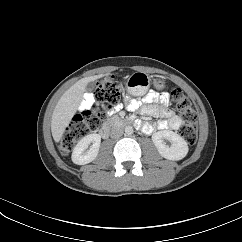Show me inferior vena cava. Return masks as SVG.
<instances>
[{"label": "inferior vena cava", "instance_id": "obj_1", "mask_svg": "<svg viewBox=\"0 0 242 242\" xmlns=\"http://www.w3.org/2000/svg\"><path fill=\"white\" fill-rule=\"evenodd\" d=\"M123 135V129L121 128H113L111 130V138L118 139Z\"/></svg>", "mask_w": 242, "mask_h": 242}]
</instances>
